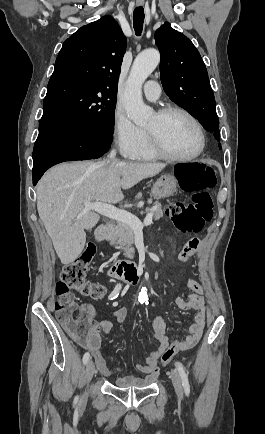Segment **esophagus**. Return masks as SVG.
<instances>
[{
  "label": "esophagus",
  "instance_id": "obj_1",
  "mask_svg": "<svg viewBox=\"0 0 265 434\" xmlns=\"http://www.w3.org/2000/svg\"><path fill=\"white\" fill-rule=\"evenodd\" d=\"M136 5H138V6H139V5H143V3H138V2H137Z\"/></svg>",
  "mask_w": 265,
  "mask_h": 434
}]
</instances>
